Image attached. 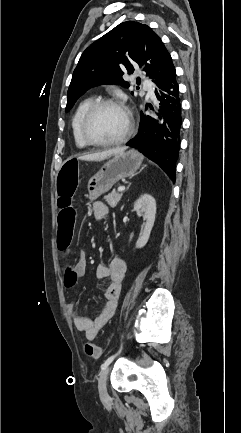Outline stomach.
<instances>
[{
    "label": "stomach",
    "instance_id": "stomach-1",
    "mask_svg": "<svg viewBox=\"0 0 241 433\" xmlns=\"http://www.w3.org/2000/svg\"><path fill=\"white\" fill-rule=\"evenodd\" d=\"M142 163V156L135 150L122 151L114 155L88 182L91 201L108 192L121 179L133 176Z\"/></svg>",
    "mask_w": 241,
    "mask_h": 433
}]
</instances>
